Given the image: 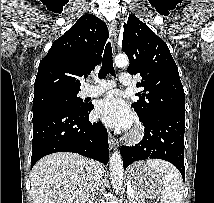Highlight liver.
<instances>
[{
    "label": "liver",
    "mask_w": 214,
    "mask_h": 203,
    "mask_svg": "<svg viewBox=\"0 0 214 203\" xmlns=\"http://www.w3.org/2000/svg\"><path fill=\"white\" fill-rule=\"evenodd\" d=\"M89 161L70 152L43 157L31 171L33 203H90Z\"/></svg>",
    "instance_id": "liver-1"
}]
</instances>
